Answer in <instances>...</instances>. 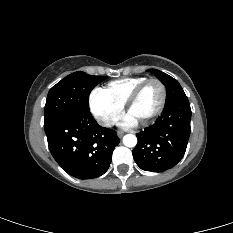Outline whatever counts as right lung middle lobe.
<instances>
[{"label":"right lung middle lobe","instance_id":"dd1d6c3e","mask_svg":"<svg viewBox=\"0 0 233 233\" xmlns=\"http://www.w3.org/2000/svg\"><path fill=\"white\" fill-rule=\"evenodd\" d=\"M105 79L107 76H93L80 71L66 76L48 93L44 123L66 113L89 111L90 92Z\"/></svg>","mask_w":233,"mask_h":233}]
</instances>
